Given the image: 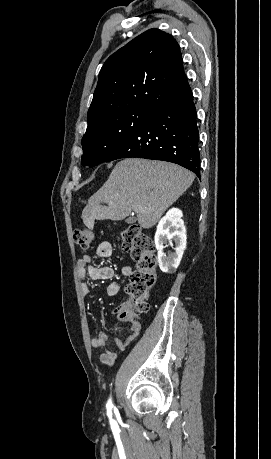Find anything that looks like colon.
Instances as JSON below:
<instances>
[{
  "label": "colon",
  "instance_id": "obj_1",
  "mask_svg": "<svg viewBox=\"0 0 271 459\" xmlns=\"http://www.w3.org/2000/svg\"><path fill=\"white\" fill-rule=\"evenodd\" d=\"M73 240L81 249H88L94 240V232L89 228H77ZM118 240L136 261V270L125 288L129 301L122 309L124 317L133 319L149 310L148 300L156 283L158 259L152 239L138 225L122 229Z\"/></svg>",
  "mask_w": 271,
  "mask_h": 459
}]
</instances>
